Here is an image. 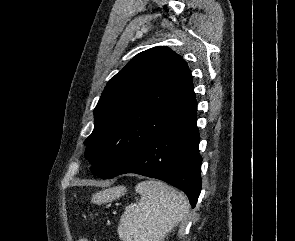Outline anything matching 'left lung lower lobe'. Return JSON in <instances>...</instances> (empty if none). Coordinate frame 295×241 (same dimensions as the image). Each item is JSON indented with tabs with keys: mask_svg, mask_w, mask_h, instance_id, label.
Wrapping results in <instances>:
<instances>
[{
	"mask_svg": "<svg viewBox=\"0 0 295 241\" xmlns=\"http://www.w3.org/2000/svg\"><path fill=\"white\" fill-rule=\"evenodd\" d=\"M196 112L197 109L149 141L111 178L136 173L163 180L182 190L194 208L201 191L202 162Z\"/></svg>",
	"mask_w": 295,
	"mask_h": 241,
	"instance_id": "1",
	"label": "left lung lower lobe"
}]
</instances>
